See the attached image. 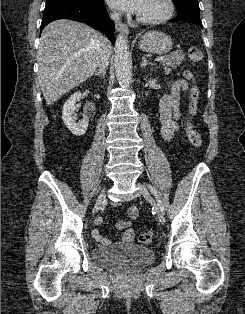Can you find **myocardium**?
Returning a JSON list of instances; mask_svg holds the SVG:
<instances>
[{
    "mask_svg": "<svg viewBox=\"0 0 245 314\" xmlns=\"http://www.w3.org/2000/svg\"><path fill=\"white\" fill-rule=\"evenodd\" d=\"M163 3L165 5V10L162 14L151 18H146L139 15L138 21L144 25H156L170 19L175 11L174 2L173 0H163Z\"/></svg>",
    "mask_w": 245,
    "mask_h": 314,
    "instance_id": "1",
    "label": "myocardium"
}]
</instances>
